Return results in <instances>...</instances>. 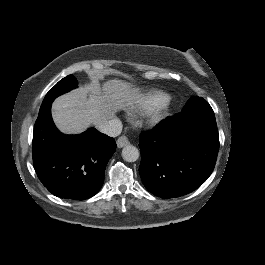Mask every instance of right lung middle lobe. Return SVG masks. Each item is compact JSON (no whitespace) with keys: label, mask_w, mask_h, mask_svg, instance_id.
Masks as SVG:
<instances>
[{"label":"right lung middle lobe","mask_w":265,"mask_h":265,"mask_svg":"<svg viewBox=\"0 0 265 265\" xmlns=\"http://www.w3.org/2000/svg\"><path fill=\"white\" fill-rule=\"evenodd\" d=\"M77 84L78 82L73 75H68L67 77L60 80L45 96L39 112L43 111L48 106H50L54 101V99L59 95L66 93L72 90L73 88L77 87Z\"/></svg>","instance_id":"dd1d6c3e"}]
</instances>
